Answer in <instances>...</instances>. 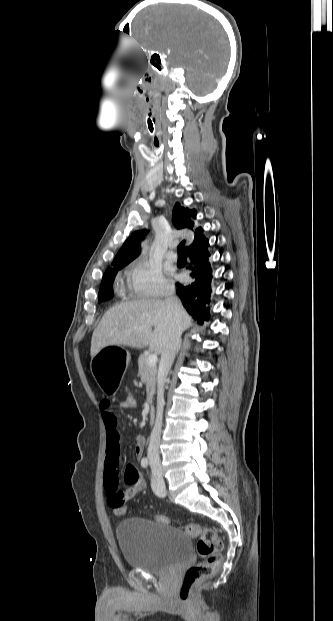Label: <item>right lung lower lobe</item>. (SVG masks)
Here are the masks:
<instances>
[{
	"instance_id": "1",
	"label": "right lung lower lobe",
	"mask_w": 333,
	"mask_h": 621,
	"mask_svg": "<svg viewBox=\"0 0 333 621\" xmlns=\"http://www.w3.org/2000/svg\"><path fill=\"white\" fill-rule=\"evenodd\" d=\"M208 246H196L186 252L190 259L187 265L192 271L194 282L176 284L177 295L184 307L195 319L199 317L201 322L209 319V308L206 305L210 302L212 270L208 259Z\"/></svg>"
}]
</instances>
